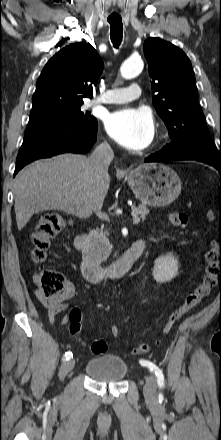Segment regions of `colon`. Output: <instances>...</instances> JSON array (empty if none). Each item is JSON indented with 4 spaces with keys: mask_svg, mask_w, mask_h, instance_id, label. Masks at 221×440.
Segmentation results:
<instances>
[{
    "mask_svg": "<svg viewBox=\"0 0 221 440\" xmlns=\"http://www.w3.org/2000/svg\"><path fill=\"white\" fill-rule=\"evenodd\" d=\"M207 219L213 221L215 214L207 212ZM170 223L176 227H186L189 223V216L185 212L175 211L169 215ZM67 225V221L62 216L51 213L45 215L34 232L31 234V259L36 264L43 263L47 258V250L51 240L58 235ZM206 267L205 274L200 285L189 295L182 304L169 316L163 327V334H168L174 325L188 314L193 308L204 301L211 291L216 287L221 278V240H212L209 249L205 254ZM35 284L38 292L45 298L51 299L58 297L66 287V280L63 275L52 270H42L35 276ZM70 332L80 335L82 330V313L78 308L69 312ZM109 330L114 338L122 336L119 323L111 320L108 323ZM90 350L95 355H102L108 350V343L103 339H96L90 343ZM151 350V345L142 343L132 348V353L143 354Z\"/></svg>",
    "mask_w": 221,
    "mask_h": 440,
    "instance_id": "colon-1",
    "label": "colon"
}]
</instances>
